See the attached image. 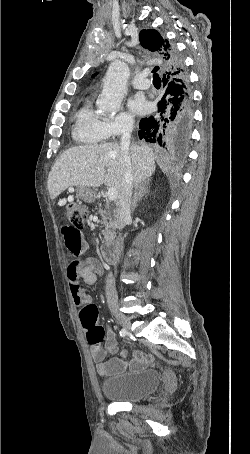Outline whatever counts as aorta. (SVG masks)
I'll list each match as a JSON object with an SVG mask.
<instances>
[{
	"label": "aorta",
	"instance_id": "1",
	"mask_svg": "<svg viewBox=\"0 0 250 454\" xmlns=\"http://www.w3.org/2000/svg\"><path fill=\"white\" fill-rule=\"evenodd\" d=\"M130 70L126 63L114 61L110 64L104 78L103 91L97 101L101 113L114 116L127 92Z\"/></svg>",
	"mask_w": 250,
	"mask_h": 454
}]
</instances>
